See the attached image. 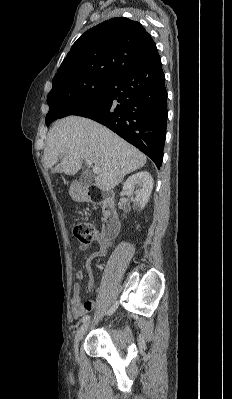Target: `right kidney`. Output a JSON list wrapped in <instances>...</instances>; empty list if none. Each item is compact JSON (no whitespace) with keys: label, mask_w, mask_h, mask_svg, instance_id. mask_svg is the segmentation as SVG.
Returning a JSON list of instances; mask_svg holds the SVG:
<instances>
[{"label":"right kidney","mask_w":232,"mask_h":399,"mask_svg":"<svg viewBox=\"0 0 232 399\" xmlns=\"http://www.w3.org/2000/svg\"><path fill=\"white\" fill-rule=\"evenodd\" d=\"M153 190V178L149 172H137L126 180L123 186V192H128L133 198L134 205L143 209L146 203L150 200L151 192Z\"/></svg>","instance_id":"right-kidney-1"}]
</instances>
